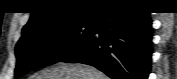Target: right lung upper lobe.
<instances>
[{
	"instance_id": "1",
	"label": "right lung upper lobe",
	"mask_w": 177,
	"mask_h": 79,
	"mask_svg": "<svg viewBox=\"0 0 177 79\" xmlns=\"http://www.w3.org/2000/svg\"><path fill=\"white\" fill-rule=\"evenodd\" d=\"M133 3L129 0H39L31 11L29 22L23 27L22 36L37 29L76 20H95L103 10L116 4Z\"/></svg>"
}]
</instances>
